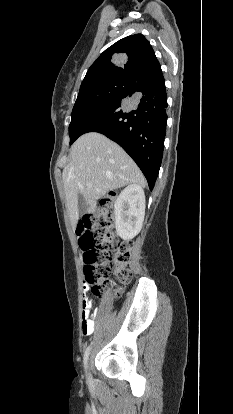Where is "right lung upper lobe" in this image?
I'll return each mask as SVG.
<instances>
[{
    "label": "right lung upper lobe",
    "instance_id": "obj_1",
    "mask_svg": "<svg viewBox=\"0 0 233 414\" xmlns=\"http://www.w3.org/2000/svg\"><path fill=\"white\" fill-rule=\"evenodd\" d=\"M161 71L154 50L141 34L125 37L106 49L88 69L81 84L106 77L137 81Z\"/></svg>",
    "mask_w": 233,
    "mask_h": 414
}]
</instances>
